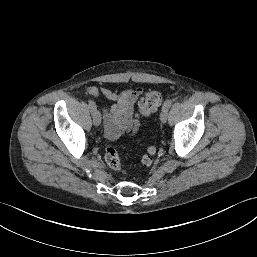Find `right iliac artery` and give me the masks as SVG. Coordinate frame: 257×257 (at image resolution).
Masks as SVG:
<instances>
[{
  "label": "right iliac artery",
  "mask_w": 257,
  "mask_h": 257,
  "mask_svg": "<svg viewBox=\"0 0 257 257\" xmlns=\"http://www.w3.org/2000/svg\"><path fill=\"white\" fill-rule=\"evenodd\" d=\"M88 103H89V108H90V111L92 112V114L97 110V108H96V104H95V102L94 101H92V100H89L88 101Z\"/></svg>",
  "instance_id": "1"
}]
</instances>
